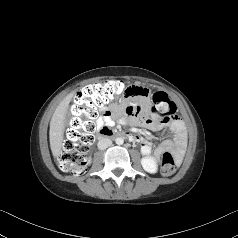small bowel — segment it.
<instances>
[{
  "instance_id": "small-bowel-1",
  "label": "small bowel",
  "mask_w": 238,
  "mask_h": 238,
  "mask_svg": "<svg viewBox=\"0 0 238 238\" xmlns=\"http://www.w3.org/2000/svg\"><path fill=\"white\" fill-rule=\"evenodd\" d=\"M149 94L145 88L134 87L131 88L129 98L123 102L122 108L125 111L123 117L117 121L120 124H130L132 126H139L149 129L154 132L161 131L164 127L168 126L173 132V138L161 142L154 151L156 158L163 155L165 152H173L177 157H180L186 146V129L183 122L175 117L168 123L157 122L151 119L152 112L148 109ZM115 111L116 108H102V114L97 116L95 123L98 129L108 128L115 124ZM141 144V152L145 156H149L152 152V144L150 141L136 135Z\"/></svg>"
}]
</instances>
